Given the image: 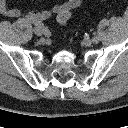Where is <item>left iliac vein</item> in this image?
Returning a JSON list of instances; mask_svg holds the SVG:
<instances>
[{
  "instance_id": "left-iliac-vein-1",
  "label": "left iliac vein",
  "mask_w": 128,
  "mask_h": 128,
  "mask_svg": "<svg viewBox=\"0 0 128 128\" xmlns=\"http://www.w3.org/2000/svg\"><path fill=\"white\" fill-rule=\"evenodd\" d=\"M93 43V41L91 39H85L84 40V44L87 45V46H90L91 44Z\"/></svg>"
}]
</instances>
